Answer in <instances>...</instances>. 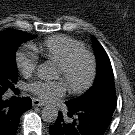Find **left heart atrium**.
<instances>
[{"mask_svg":"<svg viewBox=\"0 0 135 135\" xmlns=\"http://www.w3.org/2000/svg\"><path fill=\"white\" fill-rule=\"evenodd\" d=\"M29 91L43 101L50 102L66 93V83L59 81H36L29 85Z\"/></svg>","mask_w":135,"mask_h":135,"instance_id":"left-heart-atrium-1","label":"left heart atrium"}]
</instances>
